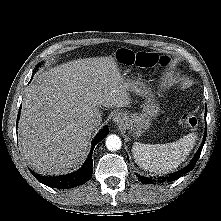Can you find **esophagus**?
<instances>
[{"mask_svg":"<svg viewBox=\"0 0 221 221\" xmlns=\"http://www.w3.org/2000/svg\"><path fill=\"white\" fill-rule=\"evenodd\" d=\"M113 122L116 125H122L124 123V114L121 112H117L113 116Z\"/></svg>","mask_w":221,"mask_h":221,"instance_id":"esophagus-1","label":"esophagus"}]
</instances>
